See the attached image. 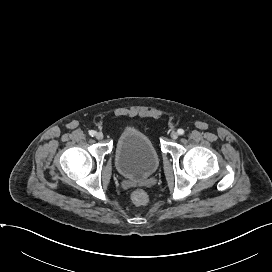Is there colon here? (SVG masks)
Segmentation results:
<instances>
[{"instance_id":"obj_1","label":"colon","mask_w":272,"mask_h":272,"mask_svg":"<svg viewBox=\"0 0 272 272\" xmlns=\"http://www.w3.org/2000/svg\"><path fill=\"white\" fill-rule=\"evenodd\" d=\"M132 201L139 206L146 205L148 203V195L143 190H136L132 193Z\"/></svg>"}]
</instances>
